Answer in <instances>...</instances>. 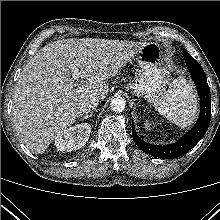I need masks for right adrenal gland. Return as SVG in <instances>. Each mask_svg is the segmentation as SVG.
I'll return each mask as SVG.
<instances>
[{
  "instance_id": "1",
  "label": "right adrenal gland",
  "mask_w": 220,
  "mask_h": 220,
  "mask_svg": "<svg viewBox=\"0 0 220 220\" xmlns=\"http://www.w3.org/2000/svg\"><path fill=\"white\" fill-rule=\"evenodd\" d=\"M93 116V112H91L90 114H85L84 116H82L81 114V119H88V118H91Z\"/></svg>"
}]
</instances>
